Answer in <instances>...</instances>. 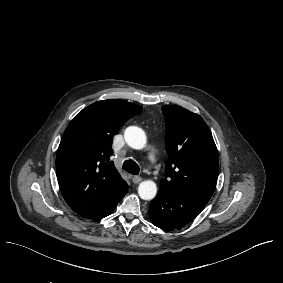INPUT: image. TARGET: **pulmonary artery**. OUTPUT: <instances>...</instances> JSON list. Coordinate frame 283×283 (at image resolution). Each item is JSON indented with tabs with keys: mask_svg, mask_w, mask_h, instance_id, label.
Returning <instances> with one entry per match:
<instances>
[{
	"mask_svg": "<svg viewBox=\"0 0 283 283\" xmlns=\"http://www.w3.org/2000/svg\"><path fill=\"white\" fill-rule=\"evenodd\" d=\"M147 161H148V163H150V164H155V163H157V161H158V156H157V154H155V153H150V154H148V156H147Z\"/></svg>",
	"mask_w": 283,
	"mask_h": 283,
	"instance_id": "1",
	"label": "pulmonary artery"
}]
</instances>
